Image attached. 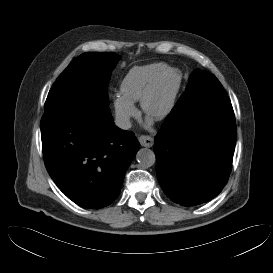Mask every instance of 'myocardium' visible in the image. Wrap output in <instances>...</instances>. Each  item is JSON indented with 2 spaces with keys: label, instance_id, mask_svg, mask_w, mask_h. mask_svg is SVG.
<instances>
[{
  "label": "myocardium",
  "instance_id": "myocardium-1",
  "mask_svg": "<svg viewBox=\"0 0 273 273\" xmlns=\"http://www.w3.org/2000/svg\"><path fill=\"white\" fill-rule=\"evenodd\" d=\"M169 74H176L175 71L169 70V69H165L162 70L161 72H159L156 77L151 81V83L146 87V89L143 91L141 98H140V105L142 108L143 113L145 114V116L149 119H153V120H161L166 118L174 109L176 101H177V96L180 90V86H181V77L176 75V81L173 87V91H172V95L170 98V101L168 102V104L163 108V110L158 113L157 115L153 116L148 108V103L149 100L151 99L153 93L156 91L158 85L160 84V82L162 81V79L169 75Z\"/></svg>",
  "mask_w": 273,
  "mask_h": 273
}]
</instances>
